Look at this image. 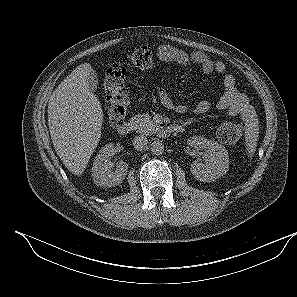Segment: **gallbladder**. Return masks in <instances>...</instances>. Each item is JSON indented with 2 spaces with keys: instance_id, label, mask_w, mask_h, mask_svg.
<instances>
[{
  "instance_id": "1",
  "label": "gallbladder",
  "mask_w": 297,
  "mask_h": 297,
  "mask_svg": "<svg viewBox=\"0 0 297 297\" xmlns=\"http://www.w3.org/2000/svg\"><path fill=\"white\" fill-rule=\"evenodd\" d=\"M86 82L90 91H96L98 86V77L96 71L93 68L89 70L88 75L86 77Z\"/></svg>"
}]
</instances>
